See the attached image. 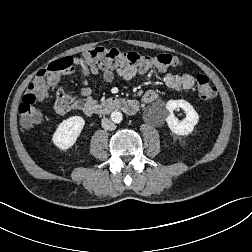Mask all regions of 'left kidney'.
I'll return each mask as SVG.
<instances>
[{
  "label": "left kidney",
  "instance_id": "1",
  "mask_svg": "<svg viewBox=\"0 0 252 252\" xmlns=\"http://www.w3.org/2000/svg\"><path fill=\"white\" fill-rule=\"evenodd\" d=\"M183 109L186 113V117L179 121L173 111L176 109ZM168 110V116L166 118L168 127L170 130L177 135H188L190 134L194 126L198 123L199 116L194 110L192 105L185 100H169L166 104Z\"/></svg>",
  "mask_w": 252,
  "mask_h": 252
}]
</instances>
